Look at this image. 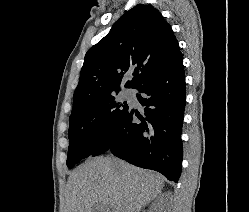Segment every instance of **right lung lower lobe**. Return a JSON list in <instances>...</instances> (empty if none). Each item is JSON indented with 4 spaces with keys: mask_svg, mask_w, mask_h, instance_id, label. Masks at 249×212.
Returning <instances> with one entry per match:
<instances>
[{
    "mask_svg": "<svg viewBox=\"0 0 249 212\" xmlns=\"http://www.w3.org/2000/svg\"><path fill=\"white\" fill-rule=\"evenodd\" d=\"M137 90L142 93L136 94L138 101L146 106L145 117L128 108L108 133L98 155L111 151L135 166L158 171L177 182L183 156L186 97L182 54ZM135 115L141 123L132 122Z\"/></svg>",
    "mask_w": 249,
    "mask_h": 212,
    "instance_id": "1",
    "label": "right lung lower lobe"
}]
</instances>
